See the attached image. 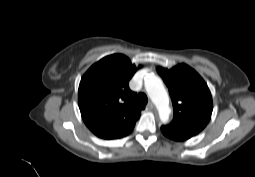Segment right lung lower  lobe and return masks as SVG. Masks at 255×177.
Here are the masks:
<instances>
[{"instance_id":"right-lung-lower-lobe-1","label":"right lung lower lobe","mask_w":255,"mask_h":177,"mask_svg":"<svg viewBox=\"0 0 255 177\" xmlns=\"http://www.w3.org/2000/svg\"><path fill=\"white\" fill-rule=\"evenodd\" d=\"M134 128V127H133ZM133 128L132 129H130L129 131H127L124 135H122L121 137H119V138H122V137H124V136H126V135H128L129 133H131V131L133 130Z\"/></svg>"}]
</instances>
